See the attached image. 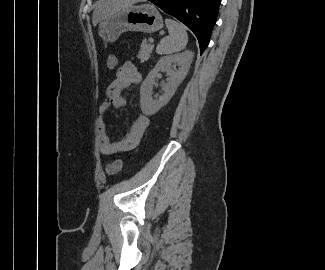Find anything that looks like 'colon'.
Wrapping results in <instances>:
<instances>
[{
    "instance_id": "5ec220e1",
    "label": "colon",
    "mask_w": 325,
    "mask_h": 270,
    "mask_svg": "<svg viewBox=\"0 0 325 270\" xmlns=\"http://www.w3.org/2000/svg\"><path fill=\"white\" fill-rule=\"evenodd\" d=\"M118 65V59L115 55L111 54L108 56L106 60V68L108 71H113L117 68ZM122 168V161L121 160H115L111 164H109L106 168V172L109 175L117 174Z\"/></svg>"
}]
</instances>
